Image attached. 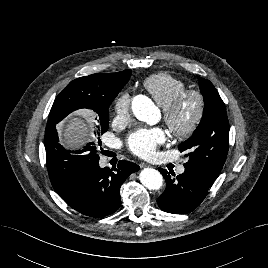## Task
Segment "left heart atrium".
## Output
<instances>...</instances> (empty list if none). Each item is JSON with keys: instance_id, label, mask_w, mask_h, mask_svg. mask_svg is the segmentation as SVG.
<instances>
[{"instance_id": "left-heart-atrium-1", "label": "left heart atrium", "mask_w": 268, "mask_h": 268, "mask_svg": "<svg viewBox=\"0 0 268 268\" xmlns=\"http://www.w3.org/2000/svg\"><path fill=\"white\" fill-rule=\"evenodd\" d=\"M166 136L161 128H142L134 131L128 137L129 149L137 156L151 158L158 145L165 142Z\"/></svg>"}]
</instances>
